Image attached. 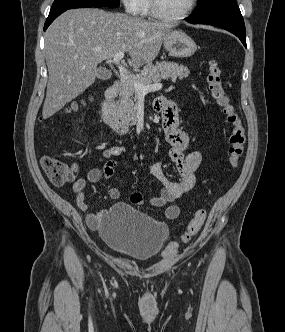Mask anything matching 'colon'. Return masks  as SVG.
<instances>
[{
    "label": "colon",
    "mask_w": 285,
    "mask_h": 332,
    "mask_svg": "<svg viewBox=\"0 0 285 332\" xmlns=\"http://www.w3.org/2000/svg\"><path fill=\"white\" fill-rule=\"evenodd\" d=\"M207 84L213 100L221 109L231 126V133L228 137V161L232 167H236L243 154L246 143L245 128L243 122L233 105L222 81V69L217 60H210L207 71ZM76 105H73L74 109ZM42 168L49 180L56 186H63L73 181L75 174L71 166L52 156H44L41 159ZM206 220V211L198 209L194 212L181 235L182 241L193 238L202 228ZM178 243L170 241L165 248L166 256H173L177 253Z\"/></svg>",
    "instance_id": "5ec220e1"
}]
</instances>
